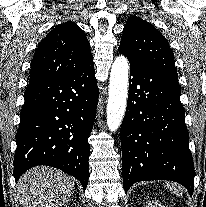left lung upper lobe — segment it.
<instances>
[{"label": "left lung upper lobe", "instance_id": "5c2ea615", "mask_svg": "<svg viewBox=\"0 0 206 207\" xmlns=\"http://www.w3.org/2000/svg\"><path fill=\"white\" fill-rule=\"evenodd\" d=\"M119 52L130 61L177 75L167 39L140 17L132 16L126 22Z\"/></svg>", "mask_w": 206, "mask_h": 207}]
</instances>
